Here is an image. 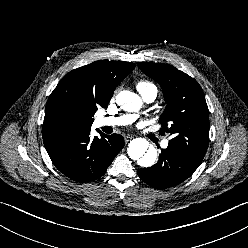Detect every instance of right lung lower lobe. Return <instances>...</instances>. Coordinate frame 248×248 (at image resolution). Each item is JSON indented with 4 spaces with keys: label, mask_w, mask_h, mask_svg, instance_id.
<instances>
[{
    "label": "right lung lower lobe",
    "mask_w": 248,
    "mask_h": 248,
    "mask_svg": "<svg viewBox=\"0 0 248 248\" xmlns=\"http://www.w3.org/2000/svg\"><path fill=\"white\" fill-rule=\"evenodd\" d=\"M124 146L119 134L90 139V130L67 135L45 144L56 168L76 182H88L105 174Z\"/></svg>",
    "instance_id": "right-lung-lower-lobe-1"
}]
</instances>
